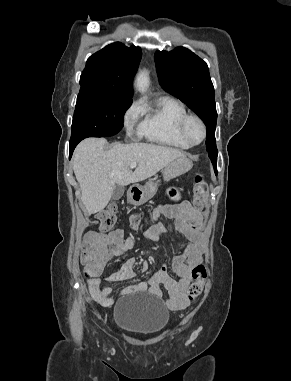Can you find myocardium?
Segmentation results:
<instances>
[{
    "label": "myocardium",
    "instance_id": "myocardium-1",
    "mask_svg": "<svg viewBox=\"0 0 291 381\" xmlns=\"http://www.w3.org/2000/svg\"><path fill=\"white\" fill-rule=\"evenodd\" d=\"M191 121H196L199 123L200 127H201V131H202V136H201V139L199 141H195L191 138L190 134H189V130H188V126H189V123ZM180 130H181V133L183 135V137L188 141L189 144H191L192 146H196V145H199L201 144L205 139H206V136H207V128H206V124L204 122V120L198 116V115H194V114H188L181 122L180 124Z\"/></svg>",
    "mask_w": 291,
    "mask_h": 381
}]
</instances>
